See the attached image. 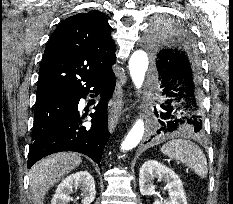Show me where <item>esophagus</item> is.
<instances>
[{
  "label": "esophagus",
  "mask_w": 233,
  "mask_h": 204,
  "mask_svg": "<svg viewBox=\"0 0 233 204\" xmlns=\"http://www.w3.org/2000/svg\"><path fill=\"white\" fill-rule=\"evenodd\" d=\"M123 96H124V92L121 83L118 81L113 95V101L109 113L108 127L110 132L114 131L123 113V106H124Z\"/></svg>",
  "instance_id": "esophagus-1"
}]
</instances>
